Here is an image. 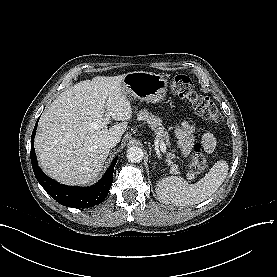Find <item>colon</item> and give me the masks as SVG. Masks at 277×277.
I'll use <instances>...</instances> for the list:
<instances>
[{
  "mask_svg": "<svg viewBox=\"0 0 277 277\" xmlns=\"http://www.w3.org/2000/svg\"><path fill=\"white\" fill-rule=\"evenodd\" d=\"M171 91L174 95L186 100L201 119L211 122L221 121L222 116L215 103L208 97L198 94L187 76H177L172 82ZM190 167L192 174L197 176L208 169V161L200 146L195 148Z\"/></svg>",
  "mask_w": 277,
  "mask_h": 277,
  "instance_id": "colon-1",
  "label": "colon"
}]
</instances>
